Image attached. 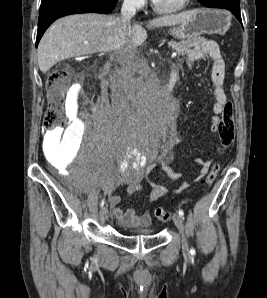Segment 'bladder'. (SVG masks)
<instances>
[{
  "label": "bladder",
  "instance_id": "31cf9c89",
  "mask_svg": "<svg viewBox=\"0 0 267 298\" xmlns=\"http://www.w3.org/2000/svg\"><path fill=\"white\" fill-rule=\"evenodd\" d=\"M144 235H152V231H150V232H148V233H146V234H144Z\"/></svg>",
  "mask_w": 267,
  "mask_h": 298
}]
</instances>
